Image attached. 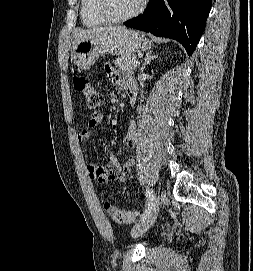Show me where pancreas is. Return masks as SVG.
I'll use <instances>...</instances> for the list:
<instances>
[{
	"label": "pancreas",
	"instance_id": "cf45deb5",
	"mask_svg": "<svg viewBox=\"0 0 253 271\" xmlns=\"http://www.w3.org/2000/svg\"><path fill=\"white\" fill-rule=\"evenodd\" d=\"M135 61H137L136 56L128 54L117 58L114 64L118 69L132 73L135 70V66L133 65Z\"/></svg>",
	"mask_w": 253,
	"mask_h": 271
}]
</instances>
